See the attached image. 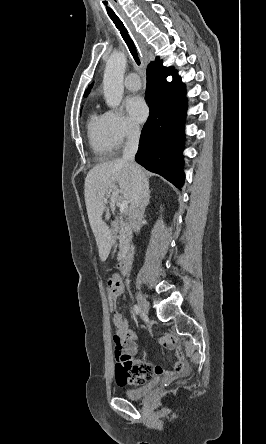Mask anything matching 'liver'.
Segmentation results:
<instances>
[{
  "label": "liver",
  "instance_id": "liver-1",
  "mask_svg": "<svg viewBox=\"0 0 266 444\" xmlns=\"http://www.w3.org/2000/svg\"><path fill=\"white\" fill-rule=\"evenodd\" d=\"M138 166V165H137ZM144 174V171L138 166ZM85 203L89 223L94 233L99 249V256L104 262L114 243V230L103 221L106 210L105 199H110L109 205L114 211L119 193L131 203L134 188V172L131 163L123 159H115L93 167L85 178ZM112 190L109 196L107 193Z\"/></svg>",
  "mask_w": 266,
  "mask_h": 444
}]
</instances>
